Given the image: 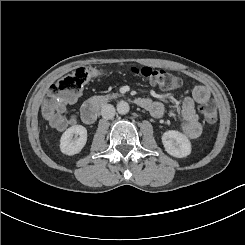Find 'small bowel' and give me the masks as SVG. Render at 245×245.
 Here are the masks:
<instances>
[{"label":"small bowel","instance_id":"small-bowel-1","mask_svg":"<svg viewBox=\"0 0 245 245\" xmlns=\"http://www.w3.org/2000/svg\"><path fill=\"white\" fill-rule=\"evenodd\" d=\"M210 93L204 86L194 88L192 95L185 97L181 102V115L183 118L182 131L189 138H197L201 135L202 127L199 122L198 114L195 110V103L208 101ZM76 100V96L67 100H61L50 114H44L49 125L58 130L64 131L69 126L77 122L75 115L68 116V105ZM153 106L149 110L152 116L158 118L164 113V106L160 102H152Z\"/></svg>","mask_w":245,"mask_h":245}]
</instances>
